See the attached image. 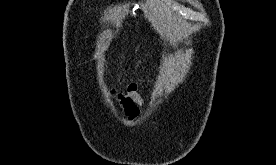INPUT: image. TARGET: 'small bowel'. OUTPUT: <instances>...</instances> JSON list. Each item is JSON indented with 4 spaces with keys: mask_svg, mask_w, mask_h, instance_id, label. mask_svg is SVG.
Listing matches in <instances>:
<instances>
[{
    "mask_svg": "<svg viewBox=\"0 0 276 165\" xmlns=\"http://www.w3.org/2000/svg\"><path fill=\"white\" fill-rule=\"evenodd\" d=\"M111 96L121 105L126 116L130 119L136 118L140 108L145 106L143 97L139 94V84L131 82L124 92H111Z\"/></svg>",
    "mask_w": 276,
    "mask_h": 165,
    "instance_id": "small-bowel-1",
    "label": "small bowel"
}]
</instances>
